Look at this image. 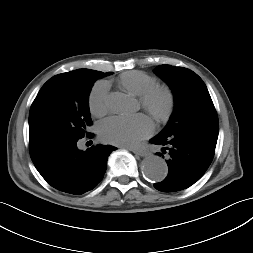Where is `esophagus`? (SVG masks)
Returning a JSON list of instances; mask_svg holds the SVG:
<instances>
[{
    "label": "esophagus",
    "instance_id": "1",
    "mask_svg": "<svg viewBox=\"0 0 253 253\" xmlns=\"http://www.w3.org/2000/svg\"><path fill=\"white\" fill-rule=\"evenodd\" d=\"M134 154L141 156V157H145L149 154V152L147 150L144 149H132L131 150Z\"/></svg>",
    "mask_w": 253,
    "mask_h": 253
}]
</instances>
